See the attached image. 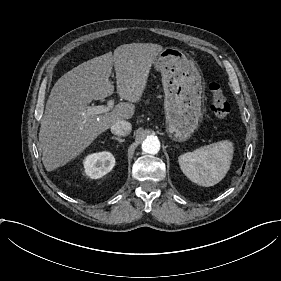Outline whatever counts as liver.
<instances>
[{
    "instance_id": "6515ba94",
    "label": "liver",
    "mask_w": 281,
    "mask_h": 281,
    "mask_svg": "<svg viewBox=\"0 0 281 281\" xmlns=\"http://www.w3.org/2000/svg\"><path fill=\"white\" fill-rule=\"evenodd\" d=\"M163 47L153 43L123 44L65 73L54 84L39 132L42 162L47 171L80 155L117 121L130 119L145 90L152 64ZM114 66L120 102L111 112L82 116L93 100L114 93L109 80Z\"/></svg>"
}]
</instances>
